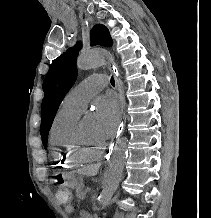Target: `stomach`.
Masks as SVG:
<instances>
[{"instance_id":"1","label":"stomach","mask_w":211,"mask_h":218,"mask_svg":"<svg viewBox=\"0 0 211 218\" xmlns=\"http://www.w3.org/2000/svg\"><path fill=\"white\" fill-rule=\"evenodd\" d=\"M64 185L69 188H77L81 185L82 180L76 174L70 173L63 176Z\"/></svg>"}]
</instances>
